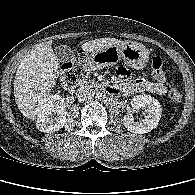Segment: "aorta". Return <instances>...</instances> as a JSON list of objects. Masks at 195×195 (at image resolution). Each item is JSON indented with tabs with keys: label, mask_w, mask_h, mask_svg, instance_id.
I'll use <instances>...</instances> for the list:
<instances>
[{
	"label": "aorta",
	"mask_w": 195,
	"mask_h": 195,
	"mask_svg": "<svg viewBox=\"0 0 195 195\" xmlns=\"http://www.w3.org/2000/svg\"><path fill=\"white\" fill-rule=\"evenodd\" d=\"M105 97H106V94H105L104 91H98V92H96V94H95V98H96L97 100H103Z\"/></svg>",
	"instance_id": "obj_1"
}]
</instances>
